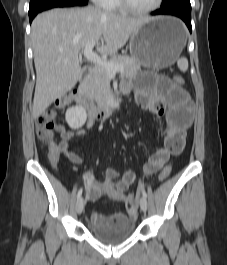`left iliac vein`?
Masks as SVG:
<instances>
[{
    "instance_id": "obj_1",
    "label": "left iliac vein",
    "mask_w": 227,
    "mask_h": 265,
    "mask_svg": "<svg viewBox=\"0 0 227 265\" xmlns=\"http://www.w3.org/2000/svg\"><path fill=\"white\" fill-rule=\"evenodd\" d=\"M140 208L143 212H146L147 210V201L144 197L140 199Z\"/></svg>"
}]
</instances>
